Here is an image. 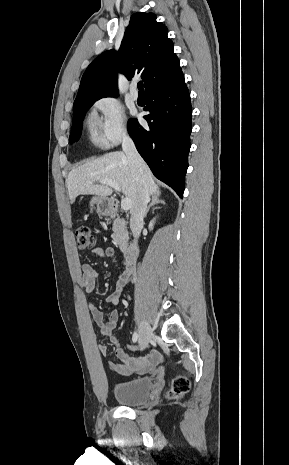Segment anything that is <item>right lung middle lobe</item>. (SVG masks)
I'll return each mask as SVG.
<instances>
[{
    "mask_svg": "<svg viewBox=\"0 0 289 465\" xmlns=\"http://www.w3.org/2000/svg\"><path fill=\"white\" fill-rule=\"evenodd\" d=\"M96 101L95 100H87L82 101L79 103L74 104V111H73V125L71 129V135L69 137V141L72 143L77 141L81 136V124L83 118L86 114V111L92 106V104ZM132 119L129 120L128 124L131 122Z\"/></svg>",
    "mask_w": 289,
    "mask_h": 465,
    "instance_id": "obj_1",
    "label": "right lung middle lobe"
}]
</instances>
